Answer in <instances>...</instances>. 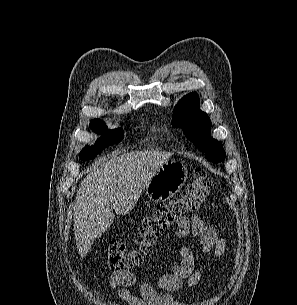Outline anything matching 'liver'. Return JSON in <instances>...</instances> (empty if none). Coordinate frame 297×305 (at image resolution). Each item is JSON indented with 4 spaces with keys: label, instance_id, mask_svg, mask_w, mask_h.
<instances>
[{
    "label": "liver",
    "instance_id": "1",
    "mask_svg": "<svg viewBox=\"0 0 297 305\" xmlns=\"http://www.w3.org/2000/svg\"><path fill=\"white\" fill-rule=\"evenodd\" d=\"M172 153L136 151L113 154L97 165L81 182L74 207V235L81 257L91 248V240L101 237L114 220L110 207L125 215L136 205L155 172Z\"/></svg>",
    "mask_w": 297,
    "mask_h": 305
}]
</instances>
